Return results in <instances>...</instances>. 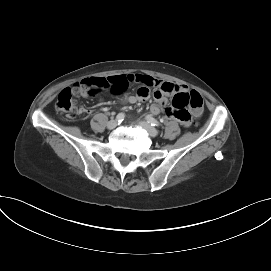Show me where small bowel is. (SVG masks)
<instances>
[{
  "mask_svg": "<svg viewBox=\"0 0 271 271\" xmlns=\"http://www.w3.org/2000/svg\"><path fill=\"white\" fill-rule=\"evenodd\" d=\"M84 85L93 84L88 91V88H84L80 95L87 97L91 94L94 97H98L105 93L111 99H119L124 94L128 93L134 84H141L135 95H127L122 98V102L128 104H135L139 102H145L151 97V88H154L153 96L154 103L150 107V111L157 114H164L168 118L178 120L182 125L188 126L191 123V115L186 110H179L172 107H167V97L175 96L176 94H187L188 89L183 85H176L171 82L157 80L149 75L130 73L127 75H111L108 77H98L86 79L82 82ZM182 114L189 116L188 119H183Z\"/></svg>",
  "mask_w": 271,
  "mask_h": 271,
  "instance_id": "c3829d8e",
  "label": "small bowel"
}]
</instances>
